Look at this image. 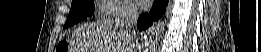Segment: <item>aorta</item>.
I'll return each instance as SVG.
<instances>
[{
  "instance_id": "aorta-1",
  "label": "aorta",
  "mask_w": 261,
  "mask_h": 52,
  "mask_svg": "<svg viewBox=\"0 0 261 52\" xmlns=\"http://www.w3.org/2000/svg\"><path fill=\"white\" fill-rule=\"evenodd\" d=\"M163 29L164 28L162 23H157L148 29L145 36V44L147 45L146 52H148V50L151 52L156 48Z\"/></svg>"
}]
</instances>
